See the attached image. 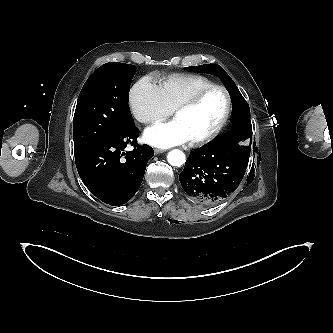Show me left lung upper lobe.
<instances>
[{
  "label": "left lung upper lobe",
  "instance_id": "left-lung-upper-lobe-1",
  "mask_svg": "<svg viewBox=\"0 0 333 333\" xmlns=\"http://www.w3.org/2000/svg\"><path fill=\"white\" fill-rule=\"evenodd\" d=\"M185 69L187 71L207 73L219 77L230 93L233 107L237 104H240L243 105L247 110L249 109L247 102L239 92L237 86L221 66L216 64H204L199 66L186 67ZM232 123H234L233 119ZM249 137V134H244L239 130H235V125L233 124V128L230 133L218 137L212 143H222L226 146H231L242 157L249 159L251 142L250 145H245L244 142H241Z\"/></svg>",
  "mask_w": 333,
  "mask_h": 333
}]
</instances>
